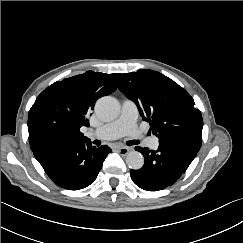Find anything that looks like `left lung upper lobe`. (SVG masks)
I'll use <instances>...</instances> for the list:
<instances>
[{
  "instance_id": "left-lung-upper-lobe-1",
  "label": "left lung upper lobe",
  "mask_w": 243,
  "mask_h": 243,
  "mask_svg": "<svg viewBox=\"0 0 243 243\" xmlns=\"http://www.w3.org/2000/svg\"><path fill=\"white\" fill-rule=\"evenodd\" d=\"M119 89L136 103L159 143L185 136L202 138V116L193 98L165 75L150 69L122 74Z\"/></svg>"
}]
</instances>
